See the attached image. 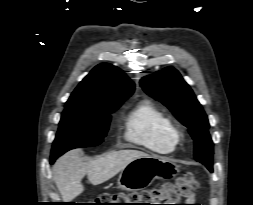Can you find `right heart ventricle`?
Segmentation results:
<instances>
[{
    "instance_id": "e07e8e85",
    "label": "right heart ventricle",
    "mask_w": 253,
    "mask_h": 205,
    "mask_svg": "<svg viewBox=\"0 0 253 205\" xmlns=\"http://www.w3.org/2000/svg\"><path fill=\"white\" fill-rule=\"evenodd\" d=\"M124 138L157 153L175 149L178 136L171 118L150 101H142L125 117Z\"/></svg>"
}]
</instances>
